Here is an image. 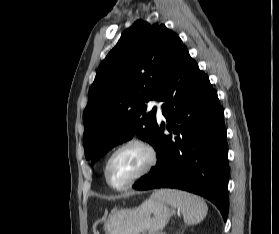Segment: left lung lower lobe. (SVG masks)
<instances>
[{"instance_id":"1","label":"left lung lower lobe","mask_w":279,"mask_h":234,"mask_svg":"<svg viewBox=\"0 0 279 234\" xmlns=\"http://www.w3.org/2000/svg\"><path fill=\"white\" fill-rule=\"evenodd\" d=\"M158 100L165 124L156 130L157 164L134 184L137 190L170 187L201 195L213 202L226 221L228 146L224 111L208 76L181 48L168 72Z\"/></svg>"}]
</instances>
